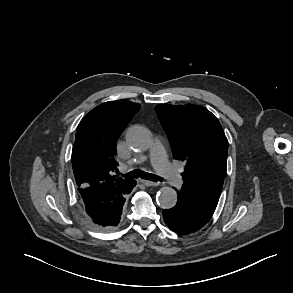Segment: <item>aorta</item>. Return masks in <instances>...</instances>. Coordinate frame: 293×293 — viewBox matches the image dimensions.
Segmentation results:
<instances>
[{"label":"aorta","instance_id":"aorta-1","mask_svg":"<svg viewBox=\"0 0 293 293\" xmlns=\"http://www.w3.org/2000/svg\"><path fill=\"white\" fill-rule=\"evenodd\" d=\"M128 145L139 151L146 150L152 141L150 132L142 126L131 127L126 135ZM157 202L163 209H170L176 205L177 193L172 187H163L157 193Z\"/></svg>","mask_w":293,"mask_h":293}]
</instances>
